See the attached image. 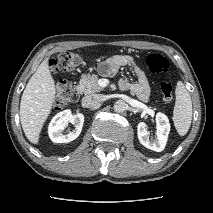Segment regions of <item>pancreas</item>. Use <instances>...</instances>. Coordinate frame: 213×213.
<instances>
[{
    "label": "pancreas",
    "mask_w": 213,
    "mask_h": 213,
    "mask_svg": "<svg viewBox=\"0 0 213 213\" xmlns=\"http://www.w3.org/2000/svg\"><path fill=\"white\" fill-rule=\"evenodd\" d=\"M78 89L84 94H93L104 90V88L98 84V76L89 74L81 77Z\"/></svg>",
    "instance_id": "obj_1"
}]
</instances>
